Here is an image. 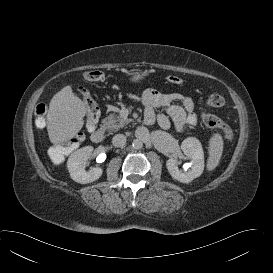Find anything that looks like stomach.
Instances as JSON below:
<instances>
[{
  "label": "stomach",
  "instance_id": "0dacf381",
  "mask_svg": "<svg viewBox=\"0 0 273 273\" xmlns=\"http://www.w3.org/2000/svg\"><path fill=\"white\" fill-rule=\"evenodd\" d=\"M145 77V74L140 71H135L130 74V80L131 82L138 83L141 80H143Z\"/></svg>",
  "mask_w": 273,
  "mask_h": 273
}]
</instances>
